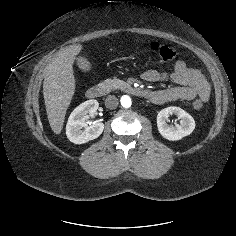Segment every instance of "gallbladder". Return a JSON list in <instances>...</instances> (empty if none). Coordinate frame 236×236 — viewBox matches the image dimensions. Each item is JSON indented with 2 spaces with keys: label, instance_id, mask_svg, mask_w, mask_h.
<instances>
[{
  "label": "gallbladder",
  "instance_id": "bac80fb5",
  "mask_svg": "<svg viewBox=\"0 0 236 236\" xmlns=\"http://www.w3.org/2000/svg\"><path fill=\"white\" fill-rule=\"evenodd\" d=\"M77 66L82 72L91 71V63L86 57H80L77 61Z\"/></svg>",
  "mask_w": 236,
  "mask_h": 236
}]
</instances>
